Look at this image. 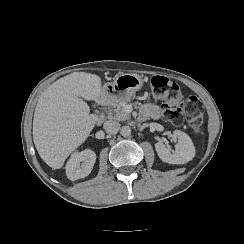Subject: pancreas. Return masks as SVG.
Here are the masks:
<instances>
[{
    "mask_svg": "<svg viewBox=\"0 0 244 244\" xmlns=\"http://www.w3.org/2000/svg\"><path fill=\"white\" fill-rule=\"evenodd\" d=\"M109 103L113 107V112L110 113V118H114L118 121H126L129 119V113L125 111V109L121 106L122 104L126 105L127 101H109Z\"/></svg>",
    "mask_w": 244,
    "mask_h": 244,
    "instance_id": "obj_1",
    "label": "pancreas"
}]
</instances>
